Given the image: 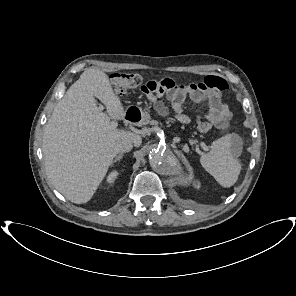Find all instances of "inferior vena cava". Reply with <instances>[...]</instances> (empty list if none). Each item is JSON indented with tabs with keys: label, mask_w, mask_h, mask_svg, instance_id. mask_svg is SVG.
I'll return each instance as SVG.
<instances>
[{
	"label": "inferior vena cava",
	"mask_w": 296,
	"mask_h": 296,
	"mask_svg": "<svg viewBox=\"0 0 296 296\" xmlns=\"http://www.w3.org/2000/svg\"><path fill=\"white\" fill-rule=\"evenodd\" d=\"M133 148V142L128 139H122L115 144L116 153L129 152Z\"/></svg>",
	"instance_id": "inferior-vena-cava-1"
}]
</instances>
